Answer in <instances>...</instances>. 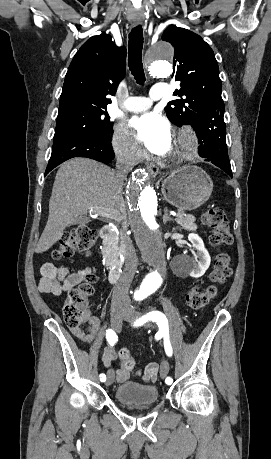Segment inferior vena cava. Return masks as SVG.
<instances>
[{
  "instance_id": "1",
  "label": "inferior vena cava",
  "mask_w": 271,
  "mask_h": 459,
  "mask_svg": "<svg viewBox=\"0 0 271 459\" xmlns=\"http://www.w3.org/2000/svg\"><path fill=\"white\" fill-rule=\"evenodd\" d=\"M132 162H127V160H117L116 164V178H120V180H124L126 178V174H129L130 170H132ZM120 212H115V216L113 220H125L124 210L119 208ZM131 277L130 279H119L118 283L114 285L113 295H112V303L113 301H117V299H126L128 297V289L130 287Z\"/></svg>"
}]
</instances>
